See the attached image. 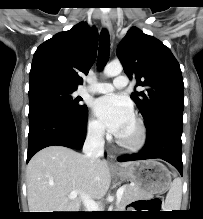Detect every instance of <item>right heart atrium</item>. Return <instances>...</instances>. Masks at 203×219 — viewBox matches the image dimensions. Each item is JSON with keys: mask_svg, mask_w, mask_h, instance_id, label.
<instances>
[{"mask_svg": "<svg viewBox=\"0 0 203 219\" xmlns=\"http://www.w3.org/2000/svg\"><path fill=\"white\" fill-rule=\"evenodd\" d=\"M87 135L93 141H101L105 137V130L100 121L90 118L87 123Z\"/></svg>", "mask_w": 203, "mask_h": 219, "instance_id": "right-heart-atrium-1", "label": "right heart atrium"}]
</instances>
